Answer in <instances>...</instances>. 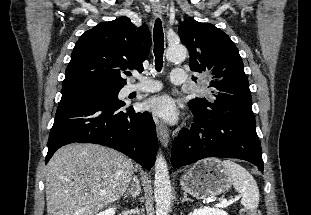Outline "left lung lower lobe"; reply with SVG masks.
Instances as JSON below:
<instances>
[{"label":"left lung lower lobe","mask_w":311,"mask_h":215,"mask_svg":"<svg viewBox=\"0 0 311 215\" xmlns=\"http://www.w3.org/2000/svg\"><path fill=\"white\" fill-rule=\"evenodd\" d=\"M191 110L195 116L194 124L190 131L180 132L171 150L174 168L207 157H224L246 160L260 171L264 170L253 113L228 111L206 114Z\"/></svg>","instance_id":"1"}]
</instances>
